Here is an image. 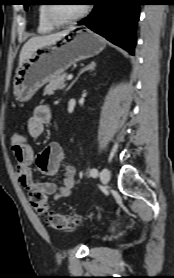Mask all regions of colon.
<instances>
[{
	"instance_id": "5ec220e1",
	"label": "colon",
	"mask_w": 174,
	"mask_h": 278,
	"mask_svg": "<svg viewBox=\"0 0 174 278\" xmlns=\"http://www.w3.org/2000/svg\"><path fill=\"white\" fill-rule=\"evenodd\" d=\"M11 141L13 145L20 146L26 143L27 139L23 135L15 133L12 135ZM29 201L36 213L45 218L48 226L52 229L67 230L74 228L81 223L79 216L51 213L48 209L47 197L41 191H31L29 193Z\"/></svg>"
}]
</instances>
